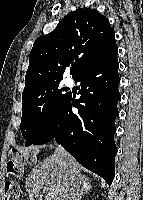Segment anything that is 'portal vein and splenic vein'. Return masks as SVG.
Here are the masks:
<instances>
[{
    "instance_id": "obj_1",
    "label": "portal vein and splenic vein",
    "mask_w": 143,
    "mask_h": 200,
    "mask_svg": "<svg viewBox=\"0 0 143 200\" xmlns=\"http://www.w3.org/2000/svg\"><path fill=\"white\" fill-rule=\"evenodd\" d=\"M48 194L51 195V196H53L55 193H53V192H49Z\"/></svg>"
}]
</instances>
